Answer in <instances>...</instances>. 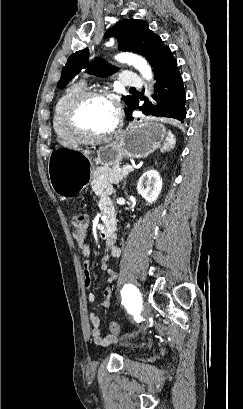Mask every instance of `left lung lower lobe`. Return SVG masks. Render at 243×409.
<instances>
[{
	"mask_svg": "<svg viewBox=\"0 0 243 409\" xmlns=\"http://www.w3.org/2000/svg\"><path fill=\"white\" fill-rule=\"evenodd\" d=\"M155 79V105L146 101L139 107L136 98L126 113L128 120H133L131 113L139 108L147 116L172 118L183 123L186 118L185 90L176 59L157 71Z\"/></svg>",
	"mask_w": 243,
	"mask_h": 409,
	"instance_id": "obj_1",
	"label": "left lung lower lobe"
}]
</instances>
